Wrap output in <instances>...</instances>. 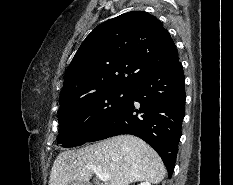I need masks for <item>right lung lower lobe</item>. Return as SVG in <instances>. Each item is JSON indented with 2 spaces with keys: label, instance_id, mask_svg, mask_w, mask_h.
I'll return each mask as SVG.
<instances>
[{
  "label": "right lung lower lobe",
  "instance_id": "1",
  "mask_svg": "<svg viewBox=\"0 0 233 185\" xmlns=\"http://www.w3.org/2000/svg\"><path fill=\"white\" fill-rule=\"evenodd\" d=\"M124 103L86 142L119 134L139 136L160 155L172 176L184 118L185 77L179 58L135 81Z\"/></svg>",
  "mask_w": 233,
  "mask_h": 185
}]
</instances>
